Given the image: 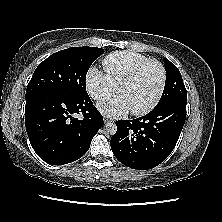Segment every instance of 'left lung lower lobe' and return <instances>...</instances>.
I'll return each instance as SVG.
<instances>
[{
  "label": "left lung lower lobe",
  "mask_w": 222,
  "mask_h": 222,
  "mask_svg": "<svg viewBox=\"0 0 222 222\" xmlns=\"http://www.w3.org/2000/svg\"><path fill=\"white\" fill-rule=\"evenodd\" d=\"M187 99H170L143 117L118 120L111 149L124 165L138 170L154 168L174 149L185 123Z\"/></svg>",
  "instance_id": "left-lung-lower-lobe-1"
}]
</instances>
